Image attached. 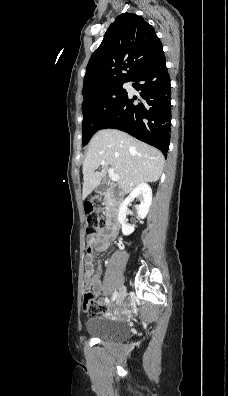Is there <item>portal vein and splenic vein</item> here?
<instances>
[{"instance_id":"portal-vein-and-splenic-vein-1","label":"portal vein and splenic vein","mask_w":228,"mask_h":396,"mask_svg":"<svg viewBox=\"0 0 228 396\" xmlns=\"http://www.w3.org/2000/svg\"><path fill=\"white\" fill-rule=\"evenodd\" d=\"M104 165H105V162L102 161V162H101V166H104ZM108 174H109L110 179H111L113 182L119 181V179H120L119 175L116 174L112 168H109Z\"/></svg>"}]
</instances>
